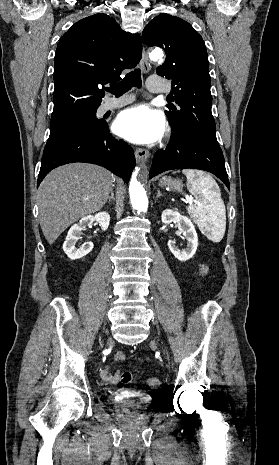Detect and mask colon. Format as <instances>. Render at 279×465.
<instances>
[{
	"label": "colon",
	"instance_id": "5ec220e1",
	"mask_svg": "<svg viewBox=\"0 0 279 465\" xmlns=\"http://www.w3.org/2000/svg\"><path fill=\"white\" fill-rule=\"evenodd\" d=\"M207 271V266L204 265L202 266L201 268V273L202 274H205ZM120 379H121V382L124 383V384H129L131 382H133L134 378H133V375L130 371H124L121 373L120 375ZM147 385L151 388H155V387H158L160 385V380L158 378H150L147 380Z\"/></svg>",
	"mask_w": 279,
	"mask_h": 465
}]
</instances>
